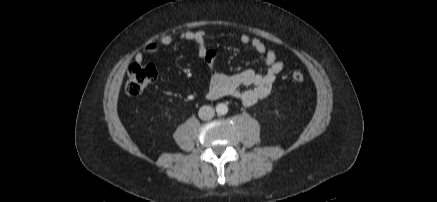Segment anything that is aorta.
Listing matches in <instances>:
<instances>
[{
  "label": "aorta",
  "instance_id": "obj_1",
  "mask_svg": "<svg viewBox=\"0 0 437 202\" xmlns=\"http://www.w3.org/2000/svg\"><path fill=\"white\" fill-rule=\"evenodd\" d=\"M216 112L218 115H225L228 112V106L224 103H219L216 106Z\"/></svg>",
  "mask_w": 437,
  "mask_h": 202
}]
</instances>
